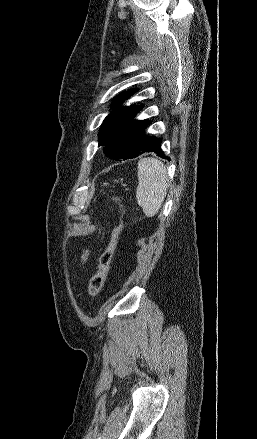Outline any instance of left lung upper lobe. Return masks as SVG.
I'll list each match as a JSON object with an SVG mask.
<instances>
[{
	"instance_id": "left-lung-upper-lobe-1",
	"label": "left lung upper lobe",
	"mask_w": 257,
	"mask_h": 439,
	"mask_svg": "<svg viewBox=\"0 0 257 439\" xmlns=\"http://www.w3.org/2000/svg\"><path fill=\"white\" fill-rule=\"evenodd\" d=\"M135 91L123 92L114 99L111 104L114 110L104 119L99 130V146H103L106 156L114 160H121L134 150L146 124V121L134 120L142 106H120Z\"/></svg>"
}]
</instances>
